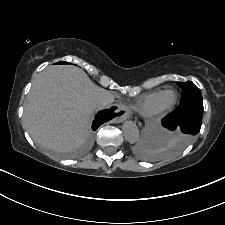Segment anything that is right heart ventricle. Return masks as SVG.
Masks as SVG:
<instances>
[{"label": "right heart ventricle", "mask_w": 225, "mask_h": 225, "mask_svg": "<svg viewBox=\"0 0 225 225\" xmlns=\"http://www.w3.org/2000/svg\"><path fill=\"white\" fill-rule=\"evenodd\" d=\"M161 91H155L142 96L137 102V110L142 114H148L158 99Z\"/></svg>", "instance_id": "right-heart-ventricle-1"}]
</instances>
